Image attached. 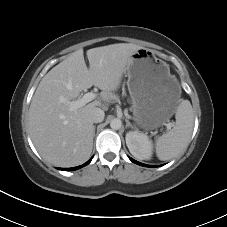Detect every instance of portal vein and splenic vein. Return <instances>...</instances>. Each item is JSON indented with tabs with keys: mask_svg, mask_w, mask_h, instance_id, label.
<instances>
[{
	"mask_svg": "<svg viewBox=\"0 0 227 227\" xmlns=\"http://www.w3.org/2000/svg\"><path fill=\"white\" fill-rule=\"evenodd\" d=\"M95 98H96L95 93L88 92V93L84 94L83 97H81L75 101H69L68 104H69L71 110H77L78 108L85 106L87 103L91 102ZM165 126L167 127L168 130H170L173 125H172V123H167V124H165Z\"/></svg>",
	"mask_w": 227,
	"mask_h": 227,
	"instance_id": "1",
	"label": "portal vein and splenic vein"
}]
</instances>
